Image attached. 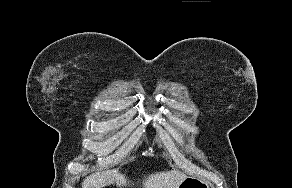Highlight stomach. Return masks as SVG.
Here are the masks:
<instances>
[{
  "label": "stomach",
  "mask_w": 292,
  "mask_h": 188,
  "mask_svg": "<svg viewBox=\"0 0 292 188\" xmlns=\"http://www.w3.org/2000/svg\"><path fill=\"white\" fill-rule=\"evenodd\" d=\"M178 188H210V184L196 177H185Z\"/></svg>",
  "instance_id": "obj_1"
}]
</instances>
